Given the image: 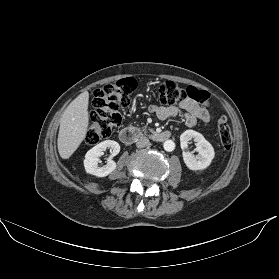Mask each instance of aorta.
Instances as JSON below:
<instances>
[{"label": "aorta", "mask_w": 279, "mask_h": 279, "mask_svg": "<svg viewBox=\"0 0 279 279\" xmlns=\"http://www.w3.org/2000/svg\"><path fill=\"white\" fill-rule=\"evenodd\" d=\"M163 147L166 151L171 152L175 149V143L172 140H166L163 143Z\"/></svg>", "instance_id": "obj_1"}]
</instances>
